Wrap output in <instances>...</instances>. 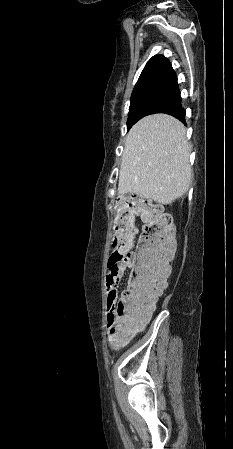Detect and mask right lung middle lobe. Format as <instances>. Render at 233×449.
I'll return each instance as SVG.
<instances>
[{"mask_svg": "<svg viewBox=\"0 0 233 449\" xmlns=\"http://www.w3.org/2000/svg\"><path fill=\"white\" fill-rule=\"evenodd\" d=\"M181 101L179 90L153 89L132 94L127 119L128 130L142 117L159 111Z\"/></svg>", "mask_w": 233, "mask_h": 449, "instance_id": "1", "label": "right lung middle lobe"}]
</instances>
